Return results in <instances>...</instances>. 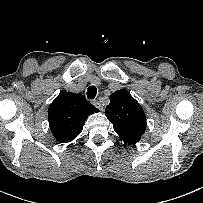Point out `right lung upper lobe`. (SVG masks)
Here are the masks:
<instances>
[{
  "label": "right lung upper lobe",
  "mask_w": 203,
  "mask_h": 203,
  "mask_svg": "<svg viewBox=\"0 0 203 203\" xmlns=\"http://www.w3.org/2000/svg\"><path fill=\"white\" fill-rule=\"evenodd\" d=\"M98 111L82 94L63 90L49 106L51 132L59 142H70L82 132L87 117Z\"/></svg>",
  "instance_id": "right-lung-upper-lobe-1"
}]
</instances>
